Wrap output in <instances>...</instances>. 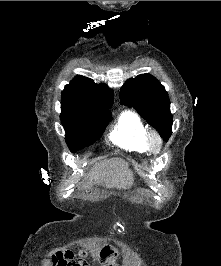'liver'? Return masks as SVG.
<instances>
[{
    "instance_id": "liver-1",
    "label": "liver",
    "mask_w": 221,
    "mask_h": 266,
    "mask_svg": "<svg viewBox=\"0 0 221 266\" xmlns=\"http://www.w3.org/2000/svg\"><path fill=\"white\" fill-rule=\"evenodd\" d=\"M86 180V186L98 184L107 188L129 189L133 185V172L125 160L112 158L96 164Z\"/></svg>"
}]
</instances>
